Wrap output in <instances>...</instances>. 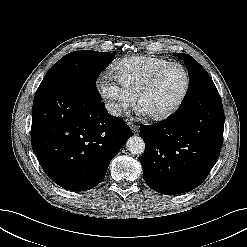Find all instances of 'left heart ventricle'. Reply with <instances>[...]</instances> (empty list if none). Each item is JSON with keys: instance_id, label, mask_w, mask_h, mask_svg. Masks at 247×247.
Returning a JSON list of instances; mask_svg holds the SVG:
<instances>
[{"instance_id": "b2bd125f", "label": "left heart ventricle", "mask_w": 247, "mask_h": 247, "mask_svg": "<svg viewBox=\"0 0 247 247\" xmlns=\"http://www.w3.org/2000/svg\"><path fill=\"white\" fill-rule=\"evenodd\" d=\"M185 85V76L178 67L163 72L143 96L140 108L144 113H159L170 108L179 98Z\"/></svg>"}]
</instances>
